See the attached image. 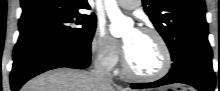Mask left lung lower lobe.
<instances>
[{"label":"left lung lower lobe","mask_w":220,"mask_h":91,"mask_svg":"<svg viewBox=\"0 0 220 91\" xmlns=\"http://www.w3.org/2000/svg\"><path fill=\"white\" fill-rule=\"evenodd\" d=\"M172 83L188 84L199 91H214L216 83L211 48L184 50L178 59L173 61L172 68L165 77L152 83L132 84L131 87L133 89L153 88Z\"/></svg>","instance_id":"obj_1"}]
</instances>
